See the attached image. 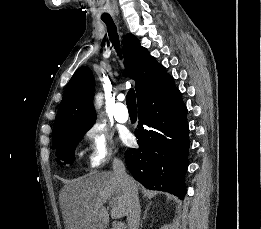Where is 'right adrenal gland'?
I'll return each mask as SVG.
<instances>
[{"mask_svg": "<svg viewBox=\"0 0 261 229\" xmlns=\"http://www.w3.org/2000/svg\"><path fill=\"white\" fill-rule=\"evenodd\" d=\"M149 207H150V205H149ZM149 207H147L146 211H144V217H143V219H146L147 213H148V211H149ZM141 227H142V229H143V221H141Z\"/></svg>", "mask_w": 261, "mask_h": 229, "instance_id": "right-adrenal-gland-1", "label": "right adrenal gland"}]
</instances>
